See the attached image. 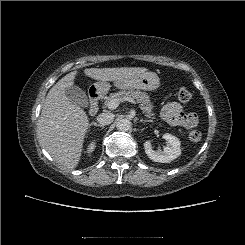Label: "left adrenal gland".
I'll use <instances>...</instances> for the list:
<instances>
[{
    "label": "left adrenal gland",
    "mask_w": 245,
    "mask_h": 245,
    "mask_svg": "<svg viewBox=\"0 0 245 245\" xmlns=\"http://www.w3.org/2000/svg\"><path fill=\"white\" fill-rule=\"evenodd\" d=\"M141 122H142V123H147V122L150 123V122H152V120H143V119H141Z\"/></svg>",
    "instance_id": "1"
}]
</instances>
